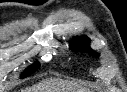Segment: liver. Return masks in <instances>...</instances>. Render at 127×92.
Segmentation results:
<instances>
[{
  "label": "liver",
  "mask_w": 127,
  "mask_h": 92,
  "mask_svg": "<svg viewBox=\"0 0 127 92\" xmlns=\"http://www.w3.org/2000/svg\"><path fill=\"white\" fill-rule=\"evenodd\" d=\"M80 90H82V88L78 83L51 79L39 84L37 87L24 89L22 92H78Z\"/></svg>",
  "instance_id": "6515ba94"
}]
</instances>
